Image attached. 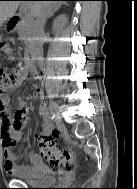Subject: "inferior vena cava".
Segmentation results:
<instances>
[{"instance_id": "1", "label": "inferior vena cava", "mask_w": 137, "mask_h": 189, "mask_svg": "<svg viewBox=\"0 0 137 189\" xmlns=\"http://www.w3.org/2000/svg\"><path fill=\"white\" fill-rule=\"evenodd\" d=\"M52 8H53V6L43 8L36 15V20L33 24L32 30H31V34L33 36V40H34L35 47H36L35 52L38 56L42 55V49L40 46V37L43 35L46 19L50 15Z\"/></svg>"}]
</instances>
